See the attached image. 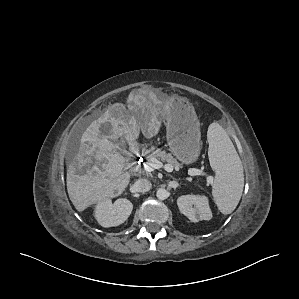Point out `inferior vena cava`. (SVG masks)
Listing matches in <instances>:
<instances>
[{"mask_svg": "<svg viewBox=\"0 0 299 299\" xmlns=\"http://www.w3.org/2000/svg\"><path fill=\"white\" fill-rule=\"evenodd\" d=\"M135 190L137 192H147L151 189L152 184L148 179H138L134 183Z\"/></svg>", "mask_w": 299, "mask_h": 299, "instance_id": "1", "label": "inferior vena cava"}]
</instances>
